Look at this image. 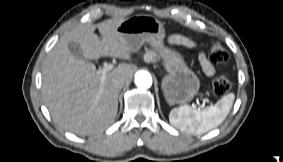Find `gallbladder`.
Wrapping results in <instances>:
<instances>
[{
  "mask_svg": "<svg viewBox=\"0 0 283 162\" xmlns=\"http://www.w3.org/2000/svg\"><path fill=\"white\" fill-rule=\"evenodd\" d=\"M68 49L76 58L85 60L83 53H82V50H81L78 43L69 42L68 43Z\"/></svg>",
  "mask_w": 283,
  "mask_h": 162,
  "instance_id": "gallbladder-1",
  "label": "gallbladder"
}]
</instances>
